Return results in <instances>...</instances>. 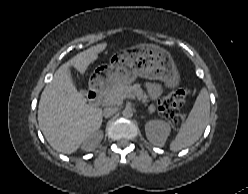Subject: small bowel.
I'll return each instance as SVG.
<instances>
[{
  "label": "small bowel",
  "instance_id": "small-bowel-1",
  "mask_svg": "<svg viewBox=\"0 0 248 194\" xmlns=\"http://www.w3.org/2000/svg\"><path fill=\"white\" fill-rule=\"evenodd\" d=\"M146 90L152 99L158 98L162 93V87L156 83H148L146 85Z\"/></svg>",
  "mask_w": 248,
  "mask_h": 194
}]
</instances>
